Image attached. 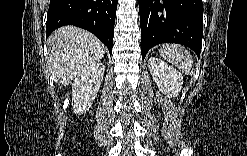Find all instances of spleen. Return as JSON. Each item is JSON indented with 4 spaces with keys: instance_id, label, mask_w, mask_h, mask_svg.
Returning a JSON list of instances; mask_svg holds the SVG:
<instances>
[{
    "instance_id": "3e777b00",
    "label": "spleen",
    "mask_w": 247,
    "mask_h": 156,
    "mask_svg": "<svg viewBox=\"0 0 247 156\" xmlns=\"http://www.w3.org/2000/svg\"><path fill=\"white\" fill-rule=\"evenodd\" d=\"M160 55L172 63L174 66L182 70L187 75H193V58L191 53L178 44H164L159 49Z\"/></svg>"
}]
</instances>
